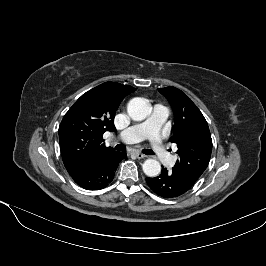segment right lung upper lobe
Returning <instances> with one entry per match:
<instances>
[{"mask_svg": "<svg viewBox=\"0 0 266 266\" xmlns=\"http://www.w3.org/2000/svg\"><path fill=\"white\" fill-rule=\"evenodd\" d=\"M136 89L105 82L83 94L64 115L59 126L63 163L72 175L114 152L106 147L104 132L115 131V112L121 101Z\"/></svg>", "mask_w": 266, "mask_h": 266, "instance_id": "right-lung-upper-lobe-1", "label": "right lung upper lobe"}]
</instances>
